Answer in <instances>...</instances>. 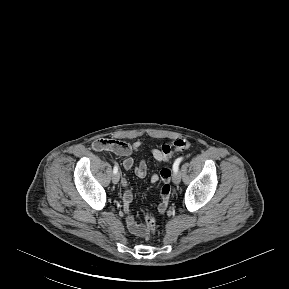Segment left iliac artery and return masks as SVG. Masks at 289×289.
I'll return each instance as SVG.
<instances>
[{
  "mask_svg": "<svg viewBox=\"0 0 289 289\" xmlns=\"http://www.w3.org/2000/svg\"><path fill=\"white\" fill-rule=\"evenodd\" d=\"M183 160V157H180L178 159L175 160L174 164H173V171L174 172H178L179 170V165L181 163V161Z\"/></svg>",
  "mask_w": 289,
  "mask_h": 289,
  "instance_id": "obj_1",
  "label": "left iliac artery"
}]
</instances>
